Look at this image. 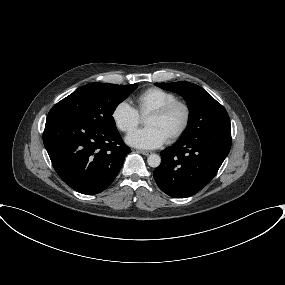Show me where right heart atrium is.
<instances>
[{
  "label": "right heart atrium",
  "mask_w": 285,
  "mask_h": 285,
  "mask_svg": "<svg viewBox=\"0 0 285 285\" xmlns=\"http://www.w3.org/2000/svg\"><path fill=\"white\" fill-rule=\"evenodd\" d=\"M112 120L120 131L132 132L140 123V115L127 101L117 103L111 113Z\"/></svg>",
  "instance_id": "d8ad5b80"
}]
</instances>
